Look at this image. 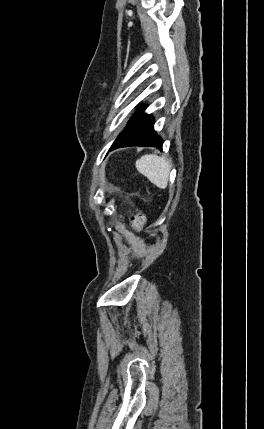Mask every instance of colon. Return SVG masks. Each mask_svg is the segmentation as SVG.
<instances>
[{
  "label": "colon",
  "mask_w": 264,
  "mask_h": 429,
  "mask_svg": "<svg viewBox=\"0 0 264 429\" xmlns=\"http://www.w3.org/2000/svg\"><path fill=\"white\" fill-rule=\"evenodd\" d=\"M133 223L135 226L139 227L141 226L144 221H145V217L143 214L141 213H136L133 217H132Z\"/></svg>",
  "instance_id": "obj_1"
}]
</instances>
